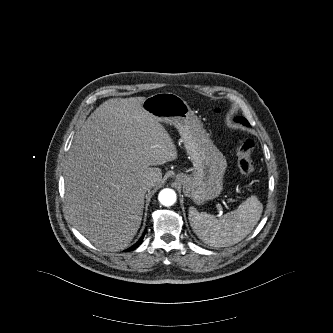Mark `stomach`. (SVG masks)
Segmentation results:
<instances>
[{
  "instance_id": "1",
  "label": "stomach",
  "mask_w": 333,
  "mask_h": 333,
  "mask_svg": "<svg viewBox=\"0 0 333 333\" xmlns=\"http://www.w3.org/2000/svg\"><path fill=\"white\" fill-rule=\"evenodd\" d=\"M142 108L159 122L174 125L183 140L194 166L191 175H176L184 194L196 204L218 197L223 189L227 162L187 102L177 94L162 92L147 97Z\"/></svg>"
}]
</instances>
